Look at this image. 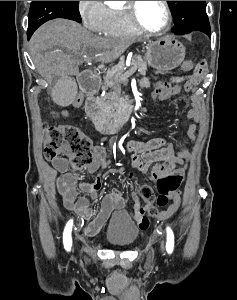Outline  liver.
I'll return each mask as SVG.
<instances>
[{"label":"liver","mask_w":237,"mask_h":300,"mask_svg":"<svg viewBox=\"0 0 237 300\" xmlns=\"http://www.w3.org/2000/svg\"><path fill=\"white\" fill-rule=\"evenodd\" d=\"M132 43L133 39L97 37L75 21L54 19L35 31L30 55L40 75H78V65L88 57L96 63H112Z\"/></svg>","instance_id":"obj_1"}]
</instances>
